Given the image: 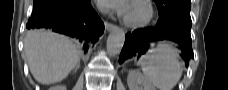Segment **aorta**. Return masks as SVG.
Segmentation results:
<instances>
[{
    "label": "aorta",
    "instance_id": "obj_1",
    "mask_svg": "<svg viewBox=\"0 0 228 90\" xmlns=\"http://www.w3.org/2000/svg\"><path fill=\"white\" fill-rule=\"evenodd\" d=\"M125 42V33L122 29L113 30L107 39V51L114 56L121 52Z\"/></svg>",
    "mask_w": 228,
    "mask_h": 90
}]
</instances>
